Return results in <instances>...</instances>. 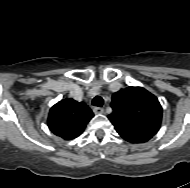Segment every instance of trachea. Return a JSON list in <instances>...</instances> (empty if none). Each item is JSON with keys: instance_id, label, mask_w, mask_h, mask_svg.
Instances as JSON below:
<instances>
[{"instance_id": "obj_1", "label": "trachea", "mask_w": 190, "mask_h": 188, "mask_svg": "<svg viewBox=\"0 0 190 188\" xmlns=\"http://www.w3.org/2000/svg\"><path fill=\"white\" fill-rule=\"evenodd\" d=\"M92 105L97 106V107H101L103 105L102 97L101 96L94 97L92 100Z\"/></svg>"}]
</instances>
